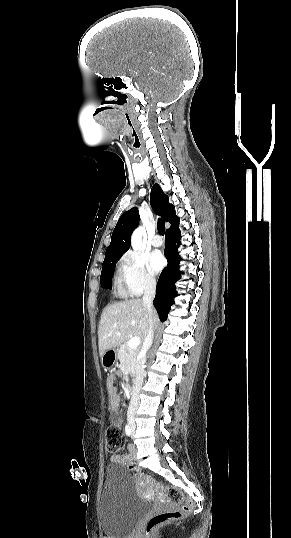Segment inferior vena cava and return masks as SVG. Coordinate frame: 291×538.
<instances>
[{
    "label": "inferior vena cava",
    "mask_w": 291,
    "mask_h": 538,
    "mask_svg": "<svg viewBox=\"0 0 291 538\" xmlns=\"http://www.w3.org/2000/svg\"><path fill=\"white\" fill-rule=\"evenodd\" d=\"M155 290H156L155 280H151V279L146 280L145 292H144L142 301H143L144 306L147 308L148 312L150 313V315L153 312V299L155 296ZM153 338H154L153 322L150 319L149 331L144 339L143 346L141 349V354L143 355V357L137 369L135 385H134L131 401H130L128 411H127V419L130 424H134V421H135L136 411L139 406V399H140L139 395H140V391H141V387L143 383V378L145 375L144 367L146 363V353L152 345Z\"/></svg>",
    "instance_id": "602c4592"
}]
</instances>
